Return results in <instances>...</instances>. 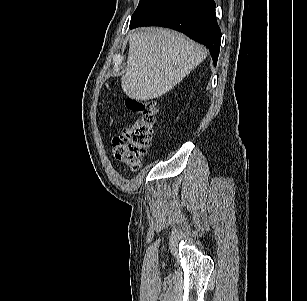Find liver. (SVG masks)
Returning <instances> with one entry per match:
<instances>
[{"instance_id":"6515ba94","label":"liver","mask_w":307,"mask_h":301,"mask_svg":"<svg viewBox=\"0 0 307 301\" xmlns=\"http://www.w3.org/2000/svg\"><path fill=\"white\" fill-rule=\"evenodd\" d=\"M207 57V50L186 36L162 28L131 32L124 93L136 100L158 98L173 89Z\"/></svg>"}]
</instances>
